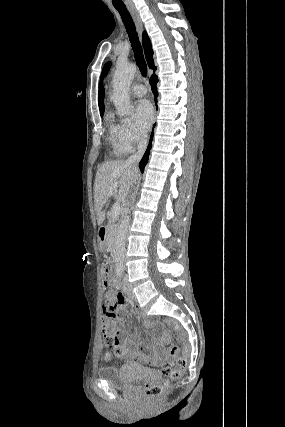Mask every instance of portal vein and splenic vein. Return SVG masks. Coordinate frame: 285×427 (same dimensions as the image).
<instances>
[{
  "mask_svg": "<svg viewBox=\"0 0 285 427\" xmlns=\"http://www.w3.org/2000/svg\"><path fill=\"white\" fill-rule=\"evenodd\" d=\"M115 186H116V184L113 186V188H110V194L111 195L113 194V190H114ZM119 212H120V203L117 202L112 207V216L113 217L118 216Z\"/></svg>",
  "mask_w": 285,
  "mask_h": 427,
  "instance_id": "1",
  "label": "portal vein and splenic vein"
}]
</instances>
